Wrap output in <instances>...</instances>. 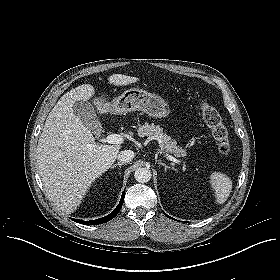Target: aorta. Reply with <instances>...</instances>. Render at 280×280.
<instances>
[{
	"instance_id": "obj_1",
	"label": "aorta",
	"mask_w": 280,
	"mask_h": 280,
	"mask_svg": "<svg viewBox=\"0 0 280 280\" xmlns=\"http://www.w3.org/2000/svg\"><path fill=\"white\" fill-rule=\"evenodd\" d=\"M151 176V171L146 167L137 168L134 173V178L139 183H146L150 181Z\"/></svg>"
}]
</instances>
